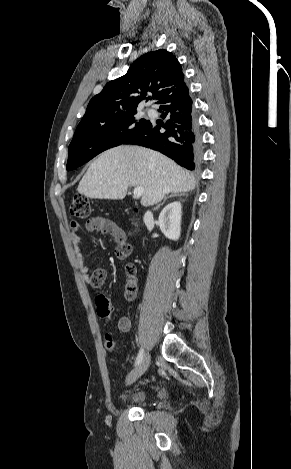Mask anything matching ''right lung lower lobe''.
<instances>
[{
  "label": "right lung lower lobe",
  "instance_id": "right-lung-lower-lobe-1",
  "mask_svg": "<svg viewBox=\"0 0 291 469\" xmlns=\"http://www.w3.org/2000/svg\"><path fill=\"white\" fill-rule=\"evenodd\" d=\"M159 105L162 118H168V121L165 124L148 121L123 144L157 150L179 165L195 170L199 160V140L187 86L172 92Z\"/></svg>",
  "mask_w": 291,
  "mask_h": 469
}]
</instances>
